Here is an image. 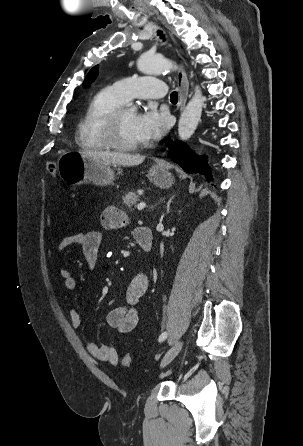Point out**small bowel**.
I'll list each match as a JSON object with an SVG mask.
<instances>
[{
	"instance_id": "1",
	"label": "small bowel",
	"mask_w": 303,
	"mask_h": 446,
	"mask_svg": "<svg viewBox=\"0 0 303 446\" xmlns=\"http://www.w3.org/2000/svg\"><path fill=\"white\" fill-rule=\"evenodd\" d=\"M102 225L107 230H113L123 227L127 223V217L120 209L108 207L104 210L101 217ZM137 230H135V233ZM102 234L98 231L77 232L63 237L57 246L59 253L66 251L72 246H81L84 259L89 269H93L98 261L100 247L102 245ZM60 277L64 281L66 291L71 292L77 288V280L65 267L58 269ZM149 286V278L146 273H137L128 284L126 289V303L123 306L112 309L106 316L108 325L116 329L121 334H127L135 329L138 323L137 304L146 293ZM70 319L73 327L78 328L82 324V316L75 309L69 310ZM87 352L96 359L107 362L111 365L117 364L118 355L116 350L107 345H98L95 342L86 344Z\"/></svg>"
}]
</instances>
